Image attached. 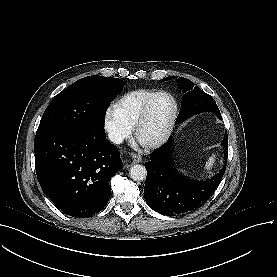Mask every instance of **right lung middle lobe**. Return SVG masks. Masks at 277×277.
Masks as SVG:
<instances>
[{"label": "right lung middle lobe", "instance_id": "right-lung-middle-lobe-1", "mask_svg": "<svg viewBox=\"0 0 277 277\" xmlns=\"http://www.w3.org/2000/svg\"><path fill=\"white\" fill-rule=\"evenodd\" d=\"M125 82L98 75L82 78L61 91L46 108L37 133L103 128L105 111Z\"/></svg>", "mask_w": 277, "mask_h": 277}]
</instances>
